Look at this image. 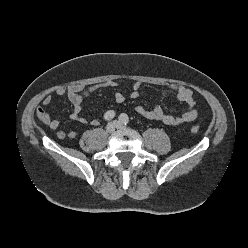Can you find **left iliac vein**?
Segmentation results:
<instances>
[{
    "label": "left iliac vein",
    "mask_w": 248,
    "mask_h": 248,
    "mask_svg": "<svg viewBox=\"0 0 248 248\" xmlns=\"http://www.w3.org/2000/svg\"><path fill=\"white\" fill-rule=\"evenodd\" d=\"M114 123L116 124V128L117 129H123L125 128V125L119 121H114Z\"/></svg>",
    "instance_id": "obj_1"
}]
</instances>
